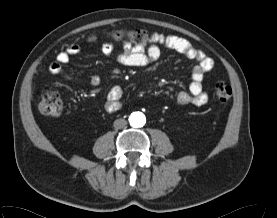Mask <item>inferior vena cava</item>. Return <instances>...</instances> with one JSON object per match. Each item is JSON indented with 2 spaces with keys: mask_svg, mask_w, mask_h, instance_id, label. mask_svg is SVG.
I'll return each mask as SVG.
<instances>
[{
  "mask_svg": "<svg viewBox=\"0 0 277 218\" xmlns=\"http://www.w3.org/2000/svg\"><path fill=\"white\" fill-rule=\"evenodd\" d=\"M127 125V121L125 119H117L114 121V127L116 129H122Z\"/></svg>",
  "mask_w": 277,
  "mask_h": 218,
  "instance_id": "1",
  "label": "inferior vena cava"
}]
</instances>
